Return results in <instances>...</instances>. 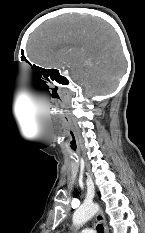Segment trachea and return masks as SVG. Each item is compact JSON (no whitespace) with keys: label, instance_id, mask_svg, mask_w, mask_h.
I'll return each instance as SVG.
<instances>
[{"label":"trachea","instance_id":"trachea-1","mask_svg":"<svg viewBox=\"0 0 145 233\" xmlns=\"http://www.w3.org/2000/svg\"><path fill=\"white\" fill-rule=\"evenodd\" d=\"M97 231H98V233H103L104 232V228H103L102 224L97 225Z\"/></svg>","mask_w":145,"mask_h":233}]
</instances>
